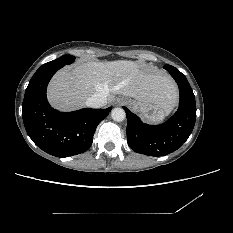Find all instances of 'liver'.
Returning a JSON list of instances; mask_svg holds the SVG:
<instances>
[{"label": "liver", "instance_id": "1", "mask_svg": "<svg viewBox=\"0 0 233 233\" xmlns=\"http://www.w3.org/2000/svg\"><path fill=\"white\" fill-rule=\"evenodd\" d=\"M95 93L105 94L109 102L121 94L170 109L178 98L177 88L166 73L128 60L87 61L63 68L50 81L47 97L55 109L72 111L83 107Z\"/></svg>", "mask_w": 233, "mask_h": 233}]
</instances>
